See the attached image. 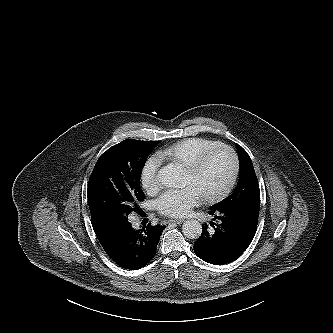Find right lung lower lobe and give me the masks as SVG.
I'll return each mask as SVG.
<instances>
[{"label":"right lung lower lobe","mask_w":333,"mask_h":333,"mask_svg":"<svg viewBox=\"0 0 333 333\" xmlns=\"http://www.w3.org/2000/svg\"><path fill=\"white\" fill-rule=\"evenodd\" d=\"M165 226L156 225L134 230L131 223L108 227V232L97 235L103 249L119 266L139 269L147 265L156 254L161 233Z\"/></svg>","instance_id":"obj_1"}]
</instances>
